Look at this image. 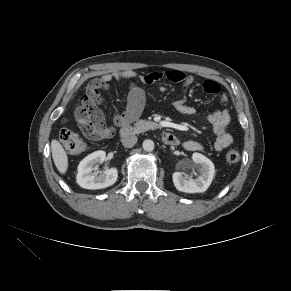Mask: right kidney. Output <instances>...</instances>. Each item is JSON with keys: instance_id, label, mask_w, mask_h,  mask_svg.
Returning <instances> with one entry per match:
<instances>
[{"instance_id": "1", "label": "right kidney", "mask_w": 291, "mask_h": 291, "mask_svg": "<svg viewBox=\"0 0 291 291\" xmlns=\"http://www.w3.org/2000/svg\"><path fill=\"white\" fill-rule=\"evenodd\" d=\"M104 151H95L86 156L78 165L77 183L84 189H103L113 185L118 178L116 168L105 170L102 174L93 173L94 166L105 161Z\"/></svg>"}]
</instances>
